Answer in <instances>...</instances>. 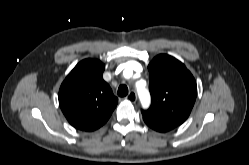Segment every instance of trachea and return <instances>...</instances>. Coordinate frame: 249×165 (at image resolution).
I'll list each match as a JSON object with an SVG mask.
<instances>
[{
	"mask_svg": "<svg viewBox=\"0 0 249 165\" xmlns=\"http://www.w3.org/2000/svg\"><path fill=\"white\" fill-rule=\"evenodd\" d=\"M118 96L125 97L128 94V88L126 85H120L117 91Z\"/></svg>",
	"mask_w": 249,
	"mask_h": 165,
	"instance_id": "trachea-1",
	"label": "trachea"
}]
</instances>
